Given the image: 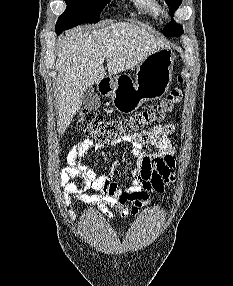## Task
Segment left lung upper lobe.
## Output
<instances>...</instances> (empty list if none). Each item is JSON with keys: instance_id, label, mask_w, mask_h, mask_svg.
Here are the masks:
<instances>
[{"instance_id": "1", "label": "left lung upper lobe", "mask_w": 233, "mask_h": 286, "mask_svg": "<svg viewBox=\"0 0 233 286\" xmlns=\"http://www.w3.org/2000/svg\"><path fill=\"white\" fill-rule=\"evenodd\" d=\"M167 4L170 6V12L173 15L174 12L181 5L182 0H166ZM177 29V30H176ZM163 33L167 37L180 36L183 33L182 26L176 24L174 20H172L167 27L164 28Z\"/></svg>"}]
</instances>
